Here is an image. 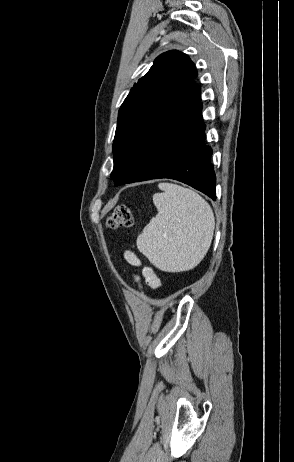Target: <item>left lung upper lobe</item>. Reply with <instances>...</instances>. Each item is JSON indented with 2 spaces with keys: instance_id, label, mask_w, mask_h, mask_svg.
Here are the masks:
<instances>
[{
  "instance_id": "5c2ea615",
  "label": "left lung upper lobe",
  "mask_w": 294,
  "mask_h": 462,
  "mask_svg": "<svg viewBox=\"0 0 294 462\" xmlns=\"http://www.w3.org/2000/svg\"><path fill=\"white\" fill-rule=\"evenodd\" d=\"M196 77L197 71L190 58L172 50L158 56L150 70L134 84L118 114L112 178L119 172L128 151L155 108L181 96Z\"/></svg>"
}]
</instances>
